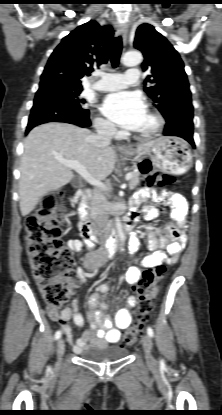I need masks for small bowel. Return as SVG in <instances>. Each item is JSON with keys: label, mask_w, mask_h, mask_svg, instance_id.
Returning <instances> with one entry per match:
<instances>
[{"label": "small bowel", "mask_w": 222, "mask_h": 415, "mask_svg": "<svg viewBox=\"0 0 222 415\" xmlns=\"http://www.w3.org/2000/svg\"><path fill=\"white\" fill-rule=\"evenodd\" d=\"M149 198L159 199L170 203L173 207L171 217L177 222L181 229H185L188 225L186 215L188 205L185 199L178 193L168 191L164 188L144 187L137 193V201H144ZM144 217L148 220L156 218L160 210L153 206L144 208ZM129 216L136 220L138 214L135 211L130 212ZM187 237L183 230L171 228L168 233L162 234L161 229H151L147 233V249L150 254L144 257L142 265L147 268L157 267L163 263L174 264L177 262L179 255L185 248ZM70 250L78 252L83 248V243L77 239H71L67 242ZM139 249V241L134 239L131 245V253L135 254ZM78 279L75 281L77 286L83 284V278L88 272L83 267L77 269ZM141 277V271L138 267H130L126 274L125 280L130 285H137ZM109 290L107 284L98 286L97 291L93 293L88 300L89 312L87 319L90 321V328L85 330L82 336L74 340L71 325L82 327L85 324V317L77 311L78 300L73 298L71 306L63 310L48 307L49 317L59 323L72 345L75 353H80L91 347H104L110 344H117L121 338V332L127 329L131 323V311L137 304L135 296L131 295L124 300L125 306L120 308L115 316L114 325L110 319L104 317L98 308H104V294Z\"/></svg>", "instance_id": "1"}]
</instances>
